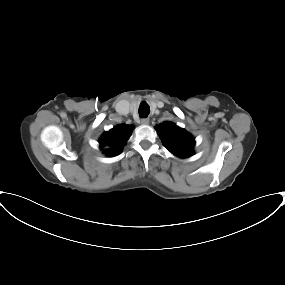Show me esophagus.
Segmentation results:
<instances>
[{
    "instance_id": "1",
    "label": "esophagus",
    "mask_w": 285,
    "mask_h": 285,
    "mask_svg": "<svg viewBox=\"0 0 285 285\" xmlns=\"http://www.w3.org/2000/svg\"><path fill=\"white\" fill-rule=\"evenodd\" d=\"M141 124L148 125L149 124V119L148 118H142L141 119Z\"/></svg>"
}]
</instances>
